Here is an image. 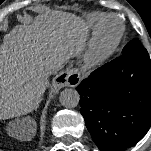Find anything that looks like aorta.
I'll return each instance as SVG.
<instances>
[{
    "instance_id": "aorta-1",
    "label": "aorta",
    "mask_w": 151,
    "mask_h": 151,
    "mask_svg": "<svg viewBox=\"0 0 151 151\" xmlns=\"http://www.w3.org/2000/svg\"><path fill=\"white\" fill-rule=\"evenodd\" d=\"M79 100L80 95L75 89L67 88L60 93V103L65 108L76 107L79 103Z\"/></svg>"
}]
</instances>
